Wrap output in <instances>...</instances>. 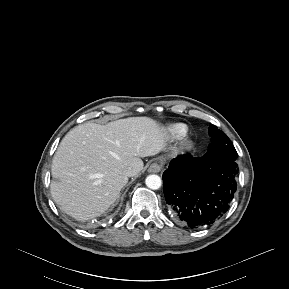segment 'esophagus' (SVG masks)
Returning a JSON list of instances; mask_svg holds the SVG:
<instances>
[{
  "label": "esophagus",
  "mask_w": 289,
  "mask_h": 289,
  "mask_svg": "<svg viewBox=\"0 0 289 289\" xmlns=\"http://www.w3.org/2000/svg\"><path fill=\"white\" fill-rule=\"evenodd\" d=\"M162 169V165L157 163V162H154L152 163L149 168H148V172L150 173H158L159 171H161Z\"/></svg>",
  "instance_id": "1"
}]
</instances>
